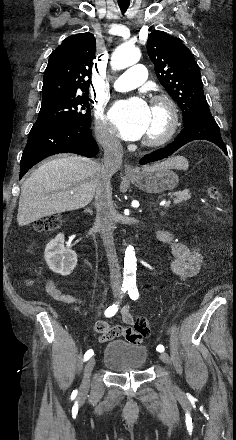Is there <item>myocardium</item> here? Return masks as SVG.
<instances>
[{"instance_id": "f54148a6", "label": "myocardium", "mask_w": 236, "mask_h": 440, "mask_svg": "<svg viewBox=\"0 0 236 440\" xmlns=\"http://www.w3.org/2000/svg\"><path fill=\"white\" fill-rule=\"evenodd\" d=\"M153 107H163L167 115L165 129L157 136L145 137L142 143L148 147H157L169 142L175 135L179 126V113L175 101L168 95L159 94L151 99Z\"/></svg>"}]
</instances>
